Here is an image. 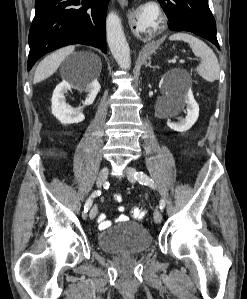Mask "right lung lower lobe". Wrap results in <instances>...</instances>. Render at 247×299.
Returning a JSON list of instances; mask_svg holds the SVG:
<instances>
[{"label":"right lung lower lobe","mask_w":247,"mask_h":299,"mask_svg":"<svg viewBox=\"0 0 247 299\" xmlns=\"http://www.w3.org/2000/svg\"><path fill=\"white\" fill-rule=\"evenodd\" d=\"M108 3L109 0H35L28 71L46 53L70 44L90 45L106 53Z\"/></svg>","instance_id":"right-lung-lower-lobe-1"}]
</instances>
